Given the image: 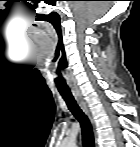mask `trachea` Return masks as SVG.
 Returning a JSON list of instances; mask_svg holds the SVG:
<instances>
[{
	"label": "trachea",
	"instance_id": "1",
	"mask_svg": "<svg viewBox=\"0 0 140 147\" xmlns=\"http://www.w3.org/2000/svg\"><path fill=\"white\" fill-rule=\"evenodd\" d=\"M60 94L65 100L69 110L72 112V114L81 124L83 146L84 147H95L92 126L87 116L79 108V106L77 105L71 93L60 92Z\"/></svg>",
	"mask_w": 140,
	"mask_h": 147
}]
</instances>
